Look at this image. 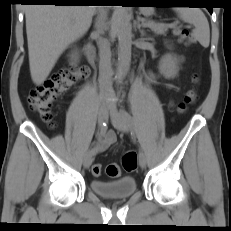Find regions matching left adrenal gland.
<instances>
[{
  "label": "left adrenal gland",
  "instance_id": "obj_1",
  "mask_svg": "<svg viewBox=\"0 0 231 231\" xmlns=\"http://www.w3.org/2000/svg\"><path fill=\"white\" fill-rule=\"evenodd\" d=\"M138 30H139V32H140V34H141V37H145V36H146L145 31H144L143 29H141L140 23H138Z\"/></svg>",
  "mask_w": 231,
  "mask_h": 231
}]
</instances>
